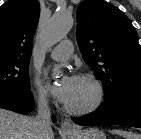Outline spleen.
<instances>
[{"label":"spleen","mask_w":141,"mask_h":139,"mask_svg":"<svg viewBox=\"0 0 141 139\" xmlns=\"http://www.w3.org/2000/svg\"><path fill=\"white\" fill-rule=\"evenodd\" d=\"M113 132L123 136L125 139H141V135L134 132H128L122 130H115Z\"/></svg>","instance_id":"1"}]
</instances>
